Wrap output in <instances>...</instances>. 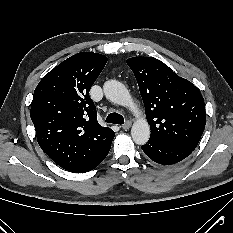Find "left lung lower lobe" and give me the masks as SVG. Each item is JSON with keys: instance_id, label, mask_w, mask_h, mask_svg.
<instances>
[{"instance_id": "left-lung-lower-lobe-1", "label": "left lung lower lobe", "mask_w": 233, "mask_h": 233, "mask_svg": "<svg viewBox=\"0 0 233 233\" xmlns=\"http://www.w3.org/2000/svg\"><path fill=\"white\" fill-rule=\"evenodd\" d=\"M144 153L154 162L161 165L175 164L192 153V150L150 138L141 146Z\"/></svg>"}]
</instances>
